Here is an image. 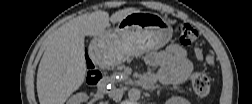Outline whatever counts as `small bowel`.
<instances>
[{
    "mask_svg": "<svg viewBox=\"0 0 252 104\" xmlns=\"http://www.w3.org/2000/svg\"><path fill=\"white\" fill-rule=\"evenodd\" d=\"M145 60L149 66L158 70L144 76V87H150L156 81L165 85L184 83L193 69L186 49L179 44H171L162 51L150 52Z\"/></svg>",
    "mask_w": 252,
    "mask_h": 104,
    "instance_id": "c3829d8e",
    "label": "small bowel"
}]
</instances>
